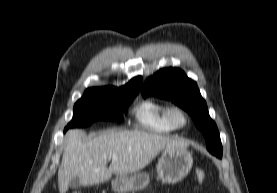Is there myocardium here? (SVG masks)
I'll return each mask as SVG.
<instances>
[{"label": "myocardium", "instance_id": "f54148a6", "mask_svg": "<svg viewBox=\"0 0 277 193\" xmlns=\"http://www.w3.org/2000/svg\"><path fill=\"white\" fill-rule=\"evenodd\" d=\"M177 116L182 118V122L177 120ZM169 123L176 129L181 130L189 124L188 113L180 106H170L167 113Z\"/></svg>", "mask_w": 277, "mask_h": 193}]
</instances>
